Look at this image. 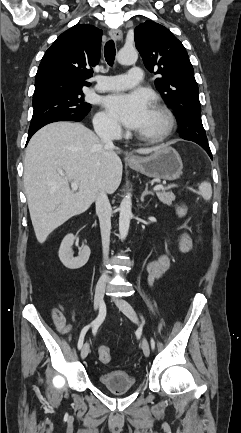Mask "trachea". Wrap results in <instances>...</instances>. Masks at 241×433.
I'll return each mask as SVG.
<instances>
[{
	"label": "trachea",
	"mask_w": 241,
	"mask_h": 433,
	"mask_svg": "<svg viewBox=\"0 0 241 433\" xmlns=\"http://www.w3.org/2000/svg\"><path fill=\"white\" fill-rule=\"evenodd\" d=\"M116 54L115 44L113 40H110L106 43L104 48V56L108 65L112 66L114 63Z\"/></svg>",
	"instance_id": "1"
}]
</instances>
